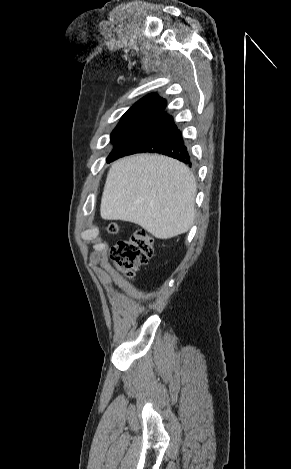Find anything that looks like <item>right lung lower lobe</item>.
I'll return each instance as SVG.
<instances>
[{"label":"right lung lower lobe","instance_id":"right-lung-lower-lobe-1","mask_svg":"<svg viewBox=\"0 0 291 469\" xmlns=\"http://www.w3.org/2000/svg\"><path fill=\"white\" fill-rule=\"evenodd\" d=\"M156 152L173 157L191 166V158L181 132L171 116L165 112L152 117L141 128L124 140L108 157L111 162L125 155Z\"/></svg>","mask_w":291,"mask_h":469}]
</instances>
